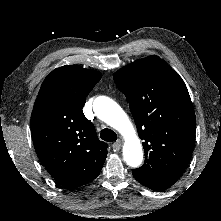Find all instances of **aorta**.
Masks as SVG:
<instances>
[{
	"label": "aorta",
	"mask_w": 221,
	"mask_h": 221,
	"mask_svg": "<svg viewBox=\"0 0 221 221\" xmlns=\"http://www.w3.org/2000/svg\"><path fill=\"white\" fill-rule=\"evenodd\" d=\"M93 110L99 119L124 136L123 157L126 164L133 168L140 166L143 161L142 146L124 110L106 96H99L95 99Z\"/></svg>",
	"instance_id": "aorta-1"
}]
</instances>
